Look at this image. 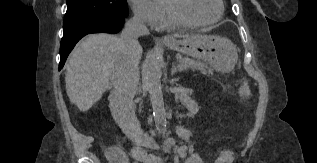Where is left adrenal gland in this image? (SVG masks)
<instances>
[{"label":"left adrenal gland","instance_id":"1","mask_svg":"<svg viewBox=\"0 0 317 163\" xmlns=\"http://www.w3.org/2000/svg\"><path fill=\"white\" fill-rule=\"evenodd\" d=\"M177 72H178V69H177V67H176V63L173 62V63H172V69H171V75H173V74H175V73H177Z\"/></svg>","mask_w":317,"mask_h":163}]
</instances>
